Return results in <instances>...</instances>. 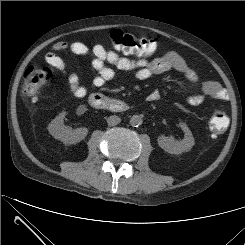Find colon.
Listing matches in <instances>:
<instances>
[{"mask_svg":"<svg viewBox=\"0 0 245 245\" xmlns=\"http://www.w3.org/2000/svg\"><path fill=\"white\" fill-rule=\"evenodd\" d=\"M110 41L117 50L142 58H151L157 51V44L153 39L138 37L121 30H113L110 33ZM50 80V69L29 66L24 72L23 94L34 100ZM227 126L228 117L226 113L221 109L214 110L209 120L212 135H220L226 130Z\"/></svg>","mask_w":245,"mask_h":245,"instance_id":"colon-1","label":"colon"}]
</instances>
